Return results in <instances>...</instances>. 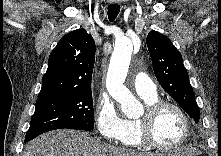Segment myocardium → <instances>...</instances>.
I'll list each match as a JSON object with an SVG mask.
<instances>
[{
	"label": "myocardium",
	"mask_w": 221,
	"mask_h": 156,
	"mask_svg": "<svg viewBox=\"0 0 221 156\" xmlns=\"http://www.w3.org/2000/svg\"><path fill=\"white\" fill-rule=\"evenodd\" d=\"M167 108L174 109L181 116L184 126L185 132L182 139L173 146H165L158 143L153 137V126L154 123L159 116V114ZM192 133V125L189 116L186 111L177 103L165 100H158L152 104L147 105L145 112L143 115L137 119V134L140 142L143 145L163 150V151H171L176 150L182 147L190 138Z\"/></svg>",
	"instance_id": "1"
}]
</instances>
